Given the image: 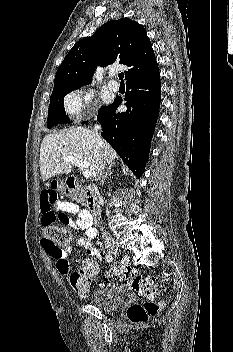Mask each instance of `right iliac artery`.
Masks as SVG:
<instances>
[{"mask_svg": "<svg viewBox=\"0 0 233 352\" xmlns=\"http://www.w3.org/2000/svg\"><path fill=\"white\" fill-rule=\"evenodd\" d=\"M113 256L111 254L106 255V261L107 262H112Z\"/></svg>", "mask_w": 233, "mask_h": 352, "instance_id": "right-iliac-artery-1", "label": "right iliac artery"}]
</instances>
